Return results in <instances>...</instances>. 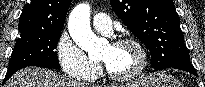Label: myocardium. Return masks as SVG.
Wrapping results in <instances>:
<instances>
[{"label":"myocardium","instance_id":"f54148a6","mask_svg":"<svg viewBox=\"0 0 205 87\" xmlns=\"http://www.w3.org/2000/svg\"><path fill=\"white\" fill-rule=\"evenodd\" d=\"M125 45L133 46L138 50L141 58L139 66L133 72L126 75L115 74L111 72L109 69H107L106 66L103 67L107 77H109L113 81L120 82V83H126L137 79L144 73V71L148 66V52L142 42H140L135 38L124 37L112 43V46H125Z\"/></svg>","mask_w":205,"mask_h":87}]
</instances>
